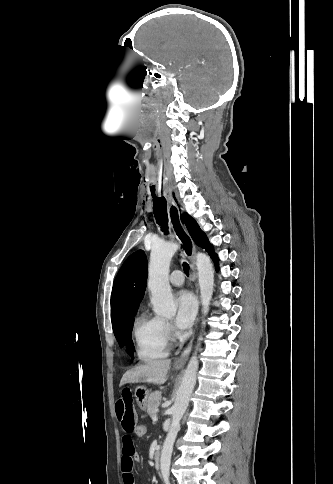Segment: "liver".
<instances>
[{
    "label": "liver",
    "mask_w": 333,
    "mask_h": 484,
    "mask_svg": "<svg viewBox=\"0 0 333 484\" xmlns=\"http://www.w3.org/2000/svg\"><path fill=\"white\" fill-rule=\"evenodd\" d=\"M170 365L171 360H153L146 364L138 365L125 372L120 381V386L137 382H149L162 385L167 381Z\"/></svg>",
    "instance_id": "6515ba94"
}]
</instances>
